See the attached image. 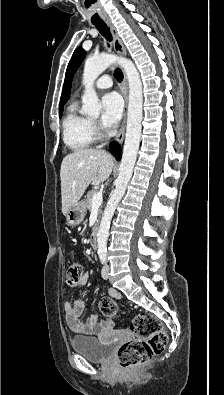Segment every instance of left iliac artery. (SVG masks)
<instances>
[{
    "label": "left iliac artery",
    "mask_w": 224,
    "mask_h": 395,
    "mask_svg": "<svg viewBox=\"0 0 224 395\" xmlns=\"http://www.w3.org/2000/svg\"><path fill=\"white\" fill-rule=\"evenodd\" d=\"M98 255H99L100 261L102 262V264H104L106 262L107 250H99Z\"/></svg>",
    "instance_id": "44dca946"
}]
</instances>
